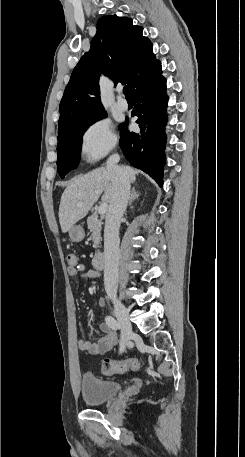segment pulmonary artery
Here are the masks:
<instances>
[{"mask_svg":"<svg viewBox=\"0 0 245 457\" xmlns=\"http://www.w3.org/2000/svg\"><path fill=\"white\" fill-rule=\"evenodd\" d=\"M121 88H118V92L121 93ZM116 107L119 109V110H126L128 108V103L125 99L123 98H120L118 99L117 103H116Z\"/></svg>","mask_w":245,"mask_h":457,"instance_id":"1","label":"pulmonary artery"}]
</instances>
